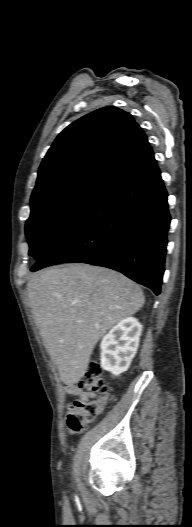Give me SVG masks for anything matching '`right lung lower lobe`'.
Masks as SVG:
<instances>
[{
    "instance_id": "right-lung-lower-lobe-1",
    "label": "right lung lower lobe",
    "mask_w": 192,
    "mask_h": 527,
    "mask_svg": "<svg viewBox=\"0 0 192 527\" xmlns=\"http://www.w3.org/2000/svg\"><path fill=\"white\" fill-rule=\"evenodd\" d=\"M167 196L148 145L106 182L31 271L72 262L103 266L123 273L158 295L171 220Z\"/></svg>"
}]
</instances>
